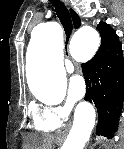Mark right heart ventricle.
Instances as JSON below:
<instances>
[{
    "instance_id": "e07e8e85",
    "label": "right heart ventricle",
    "mask_w": 124,
    "mask_h": 149,
    "mask_svg": "<svg viewBox=\"0 0 124 149\" xmlns=\"http://www.w3.org/2000/svg\"><path fill=\"white\" fill-rule=\"evenodd\" d=\"M38 131H41V132H47V131H51L52 129L50 128H46V127H42V128H39V127H35Z\"/></svg>"
}]
</instances>
